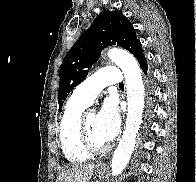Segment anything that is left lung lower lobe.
Here are the masks:
<instances>
[{"instance_id":"obj_1","label":"left lung lower lobe","mask_w":196,"mask_h":182,"mask_svg":"<svg viewBox=\"0 0 196 182\" xmlns=\"http://www.w3.org/2000/svg\"><path fill=\"white\" fill-rule=\"evenodd\" d=\"M140 66L142 68V70L144 71L145 74H147V61L145 56H143L140 60H139Z\"/></svg>"}]
</instances>
